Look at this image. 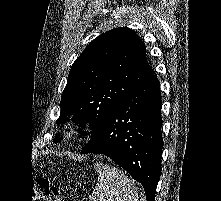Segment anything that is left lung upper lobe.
<instances>
[{"instance_id":"1","label":"left lung upper lobe","mask_w":221,"mask_h":201,"mask_svg":"<svg viewBox=\"0 0 221 201\" xmlns=\"http://www.w3.org/2000/svg\"><path fill=\"white\" fill-rule=\"evenodd\" d=\"M152 75L145 46L135 32L120 27L103 33L73 63L57 123L73 115L81 127L90 123L94 134L117 103ZM58 141L59 135L54 142Z\"/></svg>"}]
</instances>
